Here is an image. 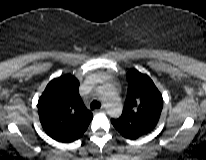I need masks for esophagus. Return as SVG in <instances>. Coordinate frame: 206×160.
I'll return each instance as SVG.
<instances>
[{"label":"esophagus","mask_w":206,"mask_h":160,"mask_svg":"<svg viewBox=\"0 0 206 160\" xmlns=\"http://www.w3.org/2000/svg\"><path fill=\"white\" fill-rule=\"evenodd\" d=\"M96 112H105L104 106H102L100 109L96 110Z\"/></svg>","instance_id":"1"}]
</instances>
